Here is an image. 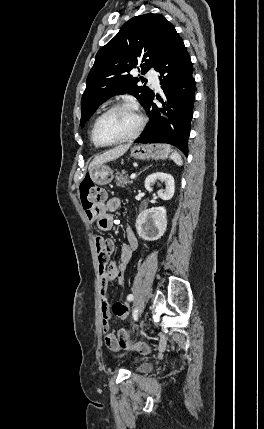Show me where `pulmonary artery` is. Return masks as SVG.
Wrapping results in <instances>:
<instances>
[{
    "label": "pulmonary artery",
    "instance_id": "e3ab8cb5",
    "mask_svg": "<svg viewBox=\"0 0 264 429\" xmlns=\"http://www.w3.org/2000/svg\"><path fill=\"white\" fill-rule=\"evenodd\" d=\"M147 78L149 80V83L152 84V86L155 89L160 90V84H159L158 75H157V73L153 69H150L147 72Z\"/></svg>",
    "mask_w": 264,
    "mask_h": 429
}]
</instances>
